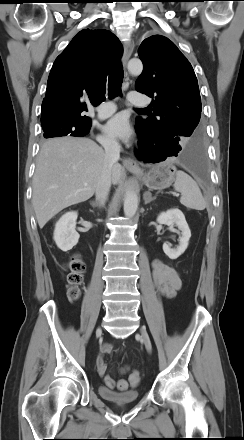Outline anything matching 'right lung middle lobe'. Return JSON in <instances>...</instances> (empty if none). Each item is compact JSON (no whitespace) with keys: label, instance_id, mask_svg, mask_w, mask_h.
I'll list each match as a JSON object with an SVG mask.
<instances>
[{"label":"right lung middle lobe","instance_id":"dd1d6c3e","mask_svg":"<svg viewBox=\"0 0 244 440\" xmlns=\"http://www.w3.org/2000/svg\"><path fill=\"white\" fill-rule=\"evenodd\" d=\"M41 125L44 131L45 138L60 137L66 135L81 137L86 135L90 130V124L77 126L64 121L56 120L45 121L42 122Z\"/></svg>","mask_w":244,"mask_h":440}]
</instances>
